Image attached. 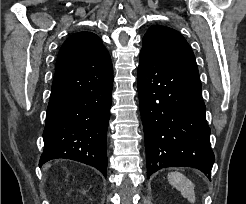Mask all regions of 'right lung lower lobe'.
I'll return each instance as SVG.
<instances>
[{"instance_id": "98d812e1", "label": "right lung lower lobe", "mask_w": 246, "mask_h": 204, "mask_svg": "<svg viewBox=\"0 0 246 204\" xmlns=\"http://www.w3.org/2000/svg\"><path fill=\"white\" fill-rule=\"evenodd\" d=\"M113 68H89L54 75L39 166L65 158L107 169V128Z\"/></svg>"}]
</instances>
